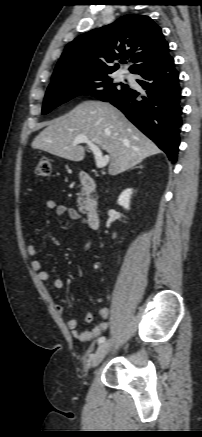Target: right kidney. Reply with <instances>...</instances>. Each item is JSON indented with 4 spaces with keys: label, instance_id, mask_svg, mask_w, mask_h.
<instances>
[{
    "label": "right kidney",
    "instance_id": "ca27d5eb",
    "mask_svg": "<svg viewBox=\"0 0 202 437\" xmlns=\"http://www.w3.org/2000/svg\"><path fill=\"white\" fill-rule=\"evenodd\" d=\"M131 195H132V189L127 188L125 189L119 196L118 198V204L120 206H122L125 209H129L130 207V199H131Z\"/></svg>",
    "mask_w": 202,
    "mask_h": 437
}]
</instances>
